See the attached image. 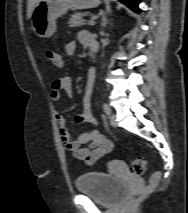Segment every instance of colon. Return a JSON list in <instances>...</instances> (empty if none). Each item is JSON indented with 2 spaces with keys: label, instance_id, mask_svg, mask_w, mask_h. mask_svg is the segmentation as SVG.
Listing matches in <instances>:
<instances>
[{
  "label": "colon",
  "instance_id": "1",
  "mask_svg": "<svg viewBox=\"0 0 188 213\" xmlns=\"http://www.w3.org/2000/svg\"><path fill=\"white\" fill-rule=\"evenodd\" d=\"M46 55L49 60H53L58 62L59 61V54L53 50H48L46 52ZM146 170V160L143 157H139L136 160H134L130 165V172L134 176H141ZM158 173L155 172L153 174V179H157ZM147 192V188L144 186H140L138 188V194L143 195Z\"/></svg>",
  "mask_w": 188,
  "mask_h": 213
}]
</instances>
